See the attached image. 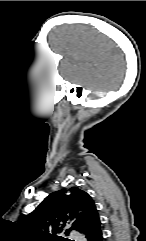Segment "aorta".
Segmentation results:
<instances>
[{
    "label": "aorta",
    "mask_w": 146,
    "mask_h": 241,
    "mask_svg": "<svg viewBox=\"0 0 146 241\" xmlns=\"http://www.w3.org/2000/svg\"><path fill=\"white\" fill-rule=\"evenodd\" d=\"M72 237L75 241H86L85 237L79 233H73Z\"/></svg>",
    "instance_id": "obj_1"
}]
</instances>
